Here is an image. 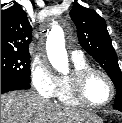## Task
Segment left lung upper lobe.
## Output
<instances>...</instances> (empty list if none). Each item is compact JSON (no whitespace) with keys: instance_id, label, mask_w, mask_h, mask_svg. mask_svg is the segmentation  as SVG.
Returning <instances> with one entry per match:
<instances>
[{"instance_id":"1","label":"left lung upper lobe","mask_w":122,"mask_h":123,"mask_svg":"<svg viewBox=\"0 0 122 123\" xmlns=\"http://www.w3.org/2000/svg\"><path fill=\"white\" fill-rule=\"evenodd\" d=\"M70 16L81 46L104 68L116 87L115 108H122V72L105 20L93 9L74 4Z\"/></svg>"}]
</instances>
